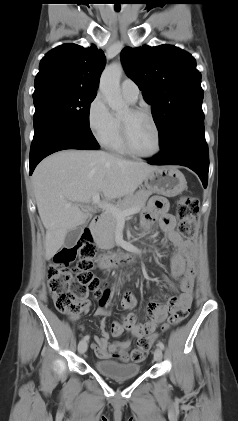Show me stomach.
Returning a JSON list of instances; mask_svg holds the SVG:
<instances>
[{"label":"stomach","instance_id":"0dacf381","mask_svg":"<svg viewBox=\"0 0 238 421\" xmlns=\"http://www.w3.org/2000/svg\"><path fill=\"white\" fill-rule=\"evenodd\" d=\"M144 182L149 190L167 197L182 193L187 184L184 175L177 168L170 166L156 167Z\"/></svg>","mask_w":238,"mask_h":421}]
</instances>
